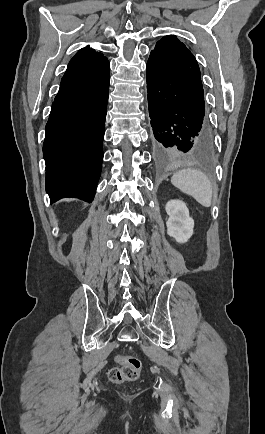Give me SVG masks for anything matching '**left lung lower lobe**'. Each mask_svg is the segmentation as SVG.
Returning <instances> with one entry per match:
<instances>
[{
    "label": "left lung lower lobe",
    "mask_w": 265,
    "mask_h": 434,
    "mask_svg": "<svg viewBox=\"0 0 265 434\" xmlns=\"http://www.w3.org/2000/svg\"><path fill=\"white\" fill-rule=\"evenodd\" d=\"M147 92L151 144L161 155L183 152L207 154L214 137L204 98L156 55L147 62Z\"/></svg>",
    "instance_id": "left-lung-lower-lobe-1"
}]
</instances>
